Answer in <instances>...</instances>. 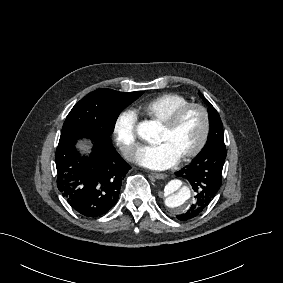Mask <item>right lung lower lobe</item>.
<instances>
[{
    "mask_svg": "<svg viewBox=\"0 0 283 283\" xmlns=\"http://www.w3.org/2000/svg\"><path fill=\"white\" fill-rule=\"evenodd\" d=\"M83 137L93 143L88 156H81L75 148ZM55 161L59 191L75 211L89 218L104 215L116 204L131 168L111 141L77 132L61 134Z\"/></svg>",
    "mask_w": 283,
    "mask_h": 283,
    "instance_id": "1",
    "label": "right lung lower lobe"
}]
</instances>
